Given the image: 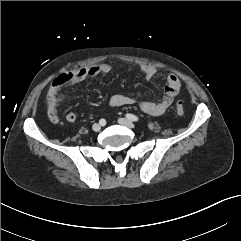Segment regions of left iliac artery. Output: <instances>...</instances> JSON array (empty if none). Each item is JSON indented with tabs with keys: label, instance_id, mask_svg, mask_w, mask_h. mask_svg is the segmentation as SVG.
Masks as SVG:
<instances>
[{
	"label": "left iliac artery",
	"instance_id": "44dca946",
	"mask_svg": "<svg viewBox=\"0 0 241 241\" xmlns=\"http://www.w3.org/2000/svg\"><path fill=\"white\" fill-rule=\"evenodd\" d=\"M126 117H127L129 120L135 121V122L139 120V118H138L137 116L133 115V114H126Z\"/></svg>",
	"mask_w": 241,
	"mask_h": 241
}]
</instances>
